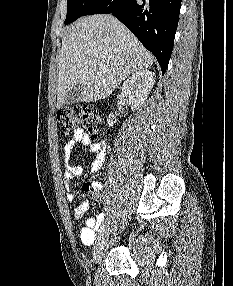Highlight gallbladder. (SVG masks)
Returning a JSON list of instances; mask_svg holds the SVG:
<instances>
[{
  "label": "gallbladder",
  "mask_w": 233,
  "mask_h": 286,
  "mask_svg": "<svg viewBox=\"0 0 233 286\" xmlns=\"http://www.w3.org/2000/svg\"><path fill=\"white\" fill-rule=\"evenodd\" d=\"M83 88L84 85L82 83H77L73 85L71 90L67 94L65 106L79 103L80 95L82 94Z\"/></svg>",
  "instance_id": "1"
}]
</instances>
